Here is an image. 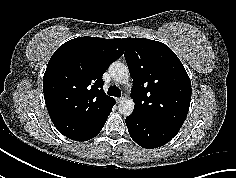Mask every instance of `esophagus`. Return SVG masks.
I'll use <instances>...</instances> for the list:
<instances>
[{
	"label": "esophagus",
	"mask_w": 236,
	"mask_h": 178,
	"mask_svg": "<svg viewBox=\"0 0 236 178\" xmlns=\"http://www.w3.org/2000/svg\"><path fill=\"white\" fill-rule=\"evenodd\" d=\"M124 98L120 97V98H116V103H120Z\"/></svg>",
	"instance_id": "1"
}]
</instances>
